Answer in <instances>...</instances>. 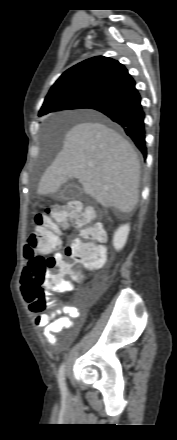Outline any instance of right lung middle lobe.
Listing matches in <instances>:
<instances>
[{"mask_svg": "<svg viewBox=\"0 0 177 440\" xmlns=\"http://www.w3.org/2000/svg\"><path fill=\"white\" fill-rule=\"evenodd\" d=\"M96 99V96L73 91L57 93L45 98L39 116L53 111L86 108Z\"/></svg>", "mask_w": 177, "mask_h": 440, "instance_id": "right-lung-middle-lobe-1", "label": "right lung middle lobe"}]
</instances>
